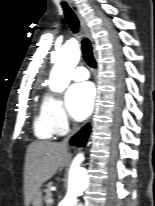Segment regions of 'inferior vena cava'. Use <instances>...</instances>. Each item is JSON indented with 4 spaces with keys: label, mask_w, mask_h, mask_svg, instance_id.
Masks as SVG:
<instances>
[{
    "label": "inferior vena cava",
    "mask_w": 155,
    "mask_h": 206,
    "mask_svg": "<svg viewBox=\"0 0 155 206\" xmlns=\"http://www.w3.org/2000/svg\"><path fill=\"white\" fill-rule=\"evenodd\" d=\"M78 129V126L76 124L73 125V130L65 137V139L62 141V144L67 147L68 141L72 137V135L75 133V131Z\"/></svg>",
    "instance_id": "obj_1"
}]
</instances>
